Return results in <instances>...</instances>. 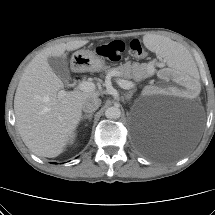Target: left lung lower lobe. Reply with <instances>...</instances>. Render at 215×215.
I'll list each match as a JSON object with an SVG mask.
<instances>
[{
	"label": "left lung lower lobe",
	"instance_id": "0a47b994",
	"mask_svg": "<svg viewBox=\"0 0 215 215\" xmlns=\"http://www.w3.org/2000/svg\"><path fill=\"white\" fill-rule=\"evenodd\" d=\"M162 155L174 156L180 153V151L175 146H168L160 151Z\"/></svg>",
	"mask_w": 215,
	"mask_h": 215
}]
</instances>
